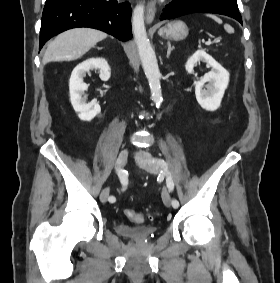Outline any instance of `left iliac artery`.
<instances>
[{"instance_id":"obj_1","label":"left iliac artery","mask_w":280,"mask_h":283,"mask_svg":"<svg viewBox=\"0 0 280 283\" xmlns=\"http://www.w3.org/2000/svg\"><path fill=\"white\" fill-rule=\"evenodd\" d=\"M157 162L162 168L161 172L166 176V184H167L169 191H173L174 182H173L172 176H171V174L168 170V164L162 159H158ZM172 206L174 208H177L179 206V202L176 199H172Z\"/></svg>"}]
</instances>
